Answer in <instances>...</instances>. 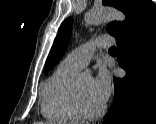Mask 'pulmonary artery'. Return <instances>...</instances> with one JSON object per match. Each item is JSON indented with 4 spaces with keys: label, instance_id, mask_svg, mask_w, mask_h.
Here are the masks:
<instances>
[{
    "label": "pulmonary artery",
    "instance_id": "obj_1",
    "mask_svg": "<svg viewBox=\"0 0 156 124\" xmlns=\"http://www.w3.org/2000/svg\"><path fill=\"white\" fill-rule=\"evenodd\" d=\"M112 45L113 40L110 36H98L74 49L63 61L70 66L81 69L88 64L96 48H108Z\"/></svg>",
    "mask_w": 156,
    "mask_h": 124
}]
</instances>
